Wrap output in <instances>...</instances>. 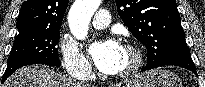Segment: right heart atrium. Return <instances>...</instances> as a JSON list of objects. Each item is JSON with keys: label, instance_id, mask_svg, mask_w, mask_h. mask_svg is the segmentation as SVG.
Listing matches in <instances>:
<instances>
[{"label": "right heart atrium", "instance_id": "obj_1", "mask_svg": "<svg viewBox=\"0 0 205 87\" xmlns=\"http://www.w3.org/2000/svg\"><path fill=\"white\" fill-rule=\"evenodd\" d=\"M59 52L63 67L71 77H91L93 73L91 64L74 40L68 37L62 38Z\"/></svg>", "mask_w": 205, "mask_h": 87}]
</instances>
